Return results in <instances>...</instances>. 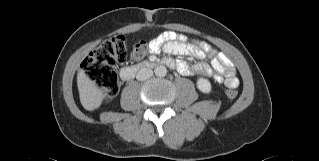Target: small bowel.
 I'll return each instance as SVG.
<instances>
[{"instance_id": "1", "label": "small bowel", "mask_w": 319, "mask_h": 161, "mask_svg": "<svg viewBox=\"0 0 319 161\" xmlns=\"http://www.w3.org/2000/svg\"><path fill=\"white\" fill-rule=\"evenodd\" d=\"M149 51L154 55L163 51L166 54L194 57L199 60L194 64H188L182 60L178 61L176 64L177 71L188 76H211L215 71L213 78L216 82L222 83L225 81L227 85L238 86L239 81L234 65L224 54L216 53L211 45L205 41L191 43L186 40V36L182 33L166 30L150 41ZM205 59H209L210 62H205Z\"/></svg>"}]
</instances>
